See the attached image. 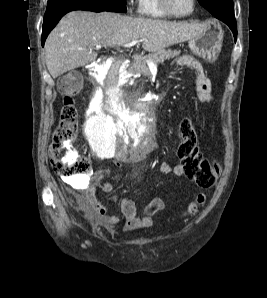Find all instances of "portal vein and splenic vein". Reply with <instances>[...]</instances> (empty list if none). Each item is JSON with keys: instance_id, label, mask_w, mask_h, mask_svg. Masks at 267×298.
Masks as SVG:
<instances>
[{"instance_id": "portal-vein-and-splenic-vein-1", "label": "portal vein and splenic vein", "mask_w": 267, "mask_h": 298, "mask_svg": "<svg viewBox=\"0 0 267 298\" xmlns=\"http://www.w3.org/2000/svg\"><path fill=\"white\" fill-rule=\"evenodd\" d=\"M142 41H143V39H140V40H134V41H131V42H129V43L124 44L123 46H124V47H131V46H134V45H136L137 43L142 42ZM96 49H101V45H96ZM146 63H147V65H148L149 69H157V64H155L153 61H151V60H146Z\"/></svg>"}]
</instances>
